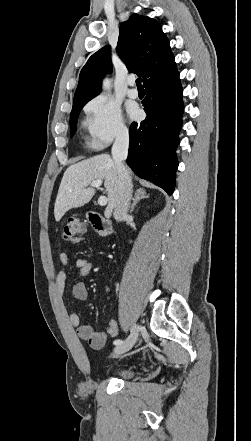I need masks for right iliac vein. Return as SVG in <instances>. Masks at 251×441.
I'll return each instance as SVG.
<instances>
[{
    "label": "right iliac vein",
    "instance_id": "right-iliac-vein-1",
    "mask_svg": "<svg viewBox=\"0 0 251 441\" xmlns=\"http://www.w3.org/2000/svg\"><path fill=\"white\" fill-rule=\"evenodd\" d=\"M139 331H140V326L136 324L133 325V327L131 328V333L128 336V338L124 341V343H122L121 345H117L115 347L114 353L120 355L129 351L135 345Z\"/></svg>",
    "mask_w": 251,
    "mask_h": 441
}]
</instances>
